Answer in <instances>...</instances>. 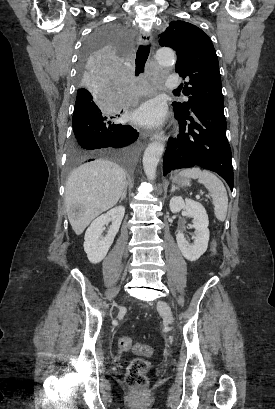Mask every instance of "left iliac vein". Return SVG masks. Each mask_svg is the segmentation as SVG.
<instances>
[{
    "label": "left iliac vein",
    "instance_id": "obj_1",
    "mask_svg": "<svg viewBox=\"0 0 275 409\" xmlns=\"http://www.w3.org/2000/svg\"><path fill=\"white\" fill-rule=\"evenodd\" d=\"M157 309L160 312V314L163 316L164 321L167 324L172 325L174 322V317H173L171 307L169 306V304H167L164 301H159L157 305Z\"/></svg>",
    "mask_w": 275,
    "mask_h": 409
}]
</instances>
